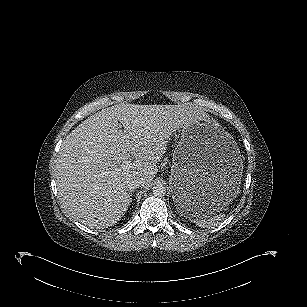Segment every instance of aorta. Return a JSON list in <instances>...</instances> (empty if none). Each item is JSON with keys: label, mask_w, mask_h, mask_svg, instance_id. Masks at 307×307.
Instances as JSON below:
<instances>
[{"label": "aorta", "mask_w": 307, "mask_h": 307, "mask_svg": "<svg viewBox=\"0 0 307 307\" xmlns=\"http://www.w3.org/2000/svg\"><path fill=\"white\" fill-rule=\"evenodd\" d=\"M153 195L156 197H162L166 194V187L162 184H156L152 188Z\"/></svg>", "instance_id": "1"}]
</instances>
